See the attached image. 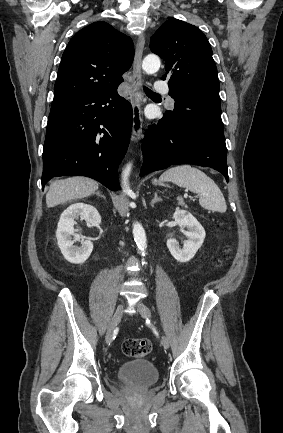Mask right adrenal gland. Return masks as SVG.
<instances>
[{"label":"right adrenal gland","instance_id":"obj_1","mask_svg":"<svg viewBox=\"0 0 283 433\" xmlns=\"http://www.w3.org/2000/svg\"><path fill=\"white\" fill-rule=\"evenodd\" d=\"M94 194H97V196H103V198H106V196H104V194H101L100 190H96V192H94Z\"/></svg>","mask_w":283,"mask_h":433}]
</instances>
